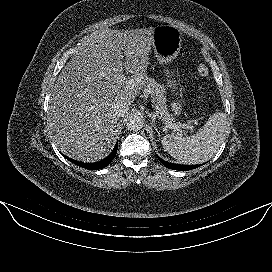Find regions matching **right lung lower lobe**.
<instances>
[{
	"label": "right lung lower lobe",
	"mask_w": 272,
	"mask_h": 272,
	"mask_svg": "<svg viewBox=\"0 0 272 272\" xmlns=\"http://www.w3.org/2000/svg\"><path fill=\"white\" fill-rule=\"evenodd\" d=\"M117 147H118V144L115 145L112 153L107 158H105L104 160L95 162V163H82V162H78L76 160H73L69 157H66V156H64V157L66 159H68L70 162H72L80 167H83L86 169H91V170H98V169H102V168L108 166L110 164V162L115 158L116 152H117Z\"/></svg>",
	"instance_id": "right-lung-lower-lobe-1"
}]
</instances>
